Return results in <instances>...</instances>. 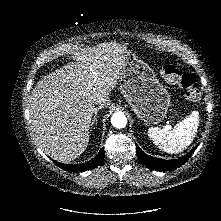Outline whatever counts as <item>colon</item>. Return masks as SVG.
<instances>
[{"label":"colon","mask_w":221,"mask_h":221,"mask_svg":"<svg viewBox=\"0 0 221 221\" xmlns=\"http://www.w3.org/2000/svg\"><path fill=\"white\" fill-rule=\"evenodd\" d=\"M159 72L165 81L181 86L189 101L196 102L200 99L201 93L194 74L181 72L171 64L161 65Z\"/></svg>","instance_id":"5ec220e1"}]
</instances>
